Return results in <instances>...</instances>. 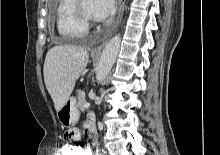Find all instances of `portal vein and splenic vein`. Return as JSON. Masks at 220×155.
<instances>
[{
	"instance_id": "1",
	"label": "portal vein and splenic vein",
	"mask_w": 220,
	"mask_h": 155,
	"mask_svg": "<svg viewBox=\"0 0 220 155\" xmlns=\"http://www.w3.org/2000/svg\"><path fill=\"white\" fill-rule=\"evenodd\" d=\"M90 106V103H88V102H86L85 104H84V108H88Z\"/></svg>"
}]
</instances>
